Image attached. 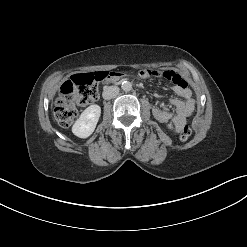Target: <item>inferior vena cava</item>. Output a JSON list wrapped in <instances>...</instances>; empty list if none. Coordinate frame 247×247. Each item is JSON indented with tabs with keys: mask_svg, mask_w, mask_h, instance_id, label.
I'll list each match as a JSON object with an SVG mask.
<instances>
[{
	"mask_svg": "<svg viewBox=\"0 0 247 247\" xmlns=\"http://www.w3.org/2000/svg\"><path fill=\"white\" fill-rule=\"evenodd\" d=\"M119 93V87L117 86H105L103 89L102 96L105 100L116 97Z\"/></svg>",
	"mask_w": 247,
	"mask_h": 247,
	"instance_id": "602c4592",
	"label": "inferior vena cava"
}]
</instances>
